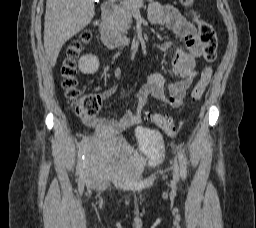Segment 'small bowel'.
Masks as SVG:
<instances>
[{"instance_id":"c3829d8e","label":"small bowel","mask_w":256,"mask_h":228,"mask_svg":"<svg viewBox=\"0 0 256 228\" xmlns=\"http://www.w3.org/2000/svg\"><path fill=\"white\" fill-rule=\"evenodd\" d=\"M149 19L155 25H162L174 32L185 44L186 51L176 49L172 58L174 73L180 80L169 85L167 94L165 79L160 73H150L146 81L137 89V111L127 110L120 119L111 118H86L85 122L99 132L118 133L129 127L136 126L142 121V111L150 96L164 102L173 108H179L183 104L187 90L197 76L195 69L196 59L202 55L203 44L197 34L194 22L188 19V15L171 5L153 3L149 10ZM171 47L170 42L155 44V48L166 51ZM120 69L114 70V76H120ZM116 92V87L111 86L101 93L102 99L110 98Z\"/></svg>"}]
</instances>
